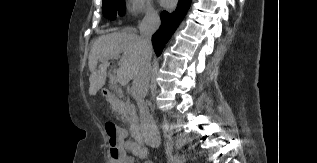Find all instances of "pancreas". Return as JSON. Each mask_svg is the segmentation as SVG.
I'll list each match as a JSON object with an SVG mask.
<instances>
[{
	"mask_svg": "<svg viewBox=\"0 0 317 163\" xmlns=\"http://www.w3.org/2000/svg\"><path fill=\"white\" fill-rule=\"evenodd\" d=\"M113 110L120 115L122 122H128L130 125L137 122V114L133 104L127 101H118L114 104Z\"/></svg>",
	"mask_w": 317,
	"mask_h": 163,
	"instance_id": "cf45deb5",
	"label": "pancreas"
}]
</instances>
